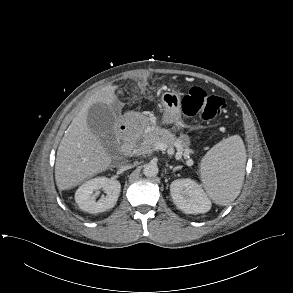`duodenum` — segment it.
Wrapping results in <instances>:
<instances>
[{
  "instance_id": "obj_1",
  "label": "duodenum",
  "mask_w": 293,
  "mask_h": 293,
  "mask_svg": "<svg viewBox=\"0 0 293 293\" xmlns=\"http://www.w3.org/2000/svg\"><path fill=\"white\" fill-rule=\"evenodd\" d=\"M120 135L122 137H126L129 138L132 134V131L129 127V124L127 123V118H123L121 123H120V131H119ZM133 148V144L132 142L129 140L127 142L124 143L122 150L124 153H130L131 150Z\"/></svg>"
}]
</instances>
